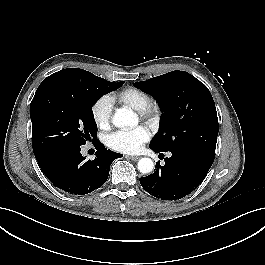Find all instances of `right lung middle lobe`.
Returning a JSON list of instances; mask_svg holds the SVG:
<instances>
[{
  "instance_id": "1",
  "label": "right lung middle lobe",
  "mask_w": 265,
  "mask_h": 265,
  "mask_svg": "<svg viewBox=\"0 0 265 265\" xmlns=\"http://www.w3.org/2000/svg\"><path fill=\"white\" fill-rule=\"evenodd\" d=\"M60 76L45 78L30 104L34 154L80 147L96 140L97 125L92 106L103 95L124 84L75 69Z\"/></svg>"
}]
</instances>
